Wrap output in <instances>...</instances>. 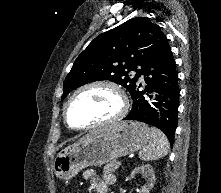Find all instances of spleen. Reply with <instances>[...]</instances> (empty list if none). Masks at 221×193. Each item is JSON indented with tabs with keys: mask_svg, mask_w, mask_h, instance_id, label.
Returning <instances> with one entry per match:
<instances>
[{
	"mask_svg": "<svg viewBox=\"0 0 221 193\" xmlns=\"http://www.w3.org/2000/svg\"><path fill=\"white\" fill-rule=\"evenodd\" d=\"M150 132L151 139L149 144L139 152V158L143 161L158 160L166 156L169 149L167 137L161 130L152 127Z\"/></svg>",
	"mask_w": 221,
	"mask_h": 193,
	"instance_id": "obj_1",
	"label": "spleen"
}]
</instances>
